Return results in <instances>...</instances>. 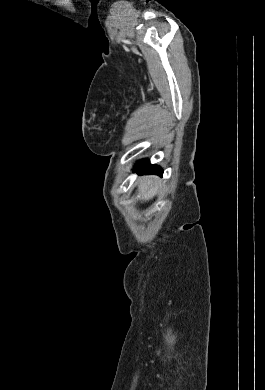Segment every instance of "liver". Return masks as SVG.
<instances>
[{
    "label": "liver",
    "mask_w": 265,
    "mask_h": 390,
    "mask_svg": "<svg viewBox=\"0 0 265 390\" xmlns=\"http://www.w3.org/2000/svg\"><path fill=\"white\" fill-rule=\"evenodd\" d=\"M156 186L153 184V182H148V184H145L142 186L141 191L143 192L142 199L149 200L156 194Z\"/></svg>",
    "instance_id": "liver-1"
}]
</instances>
